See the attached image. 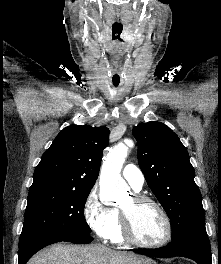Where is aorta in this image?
<instances>
[{"instance_id": "1", "label": "aorta", "mask_w": 221, "mask_h": 264, "mask_svg": "<svg viewBox=\"0 0 221 264\" xmlns=\"http://www.w3.org/2000/svg\"><path fill=\"white\" fill-rule=\"evenodd\" d=\"M127 155V146L119 144L105 157L99 181L100 199L102 201L118 203L126 194L128 186L120 172Z\"/></svg>"}]
</instances>
